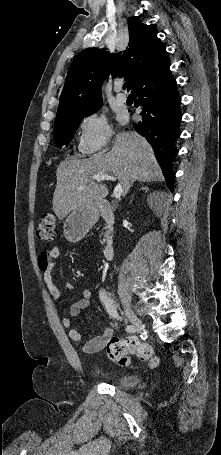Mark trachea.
<instances>
[{
	"instance_id": "1",
	"label": "trachea",
	"mask_w": 221,
	"mask_h": 455,
	"mask_svg": "<svg viewBox=\"0 0 221 455\" xmlns=\"http://www.w3.org/2000/svg\"><path fill=\"white\" fill-rule=\"evenodd\" d=\"M126 88H127V84H124V85H123V89H126Z\"/></svg>"
}]
</instances>
